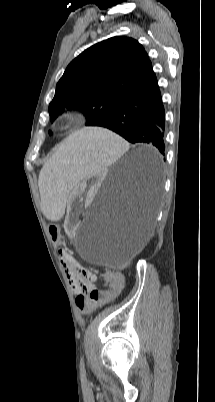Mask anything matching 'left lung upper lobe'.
Masks as SVG:
<instances>
[{"mask_svg":"<svg viewBox=\"0 0 215 402\" xmlns=\"http://www.w3.org/2000/svg\"><path fill=\"white\" fill-rule=\"evenodd\" d=\"M152 71L138 41L112 37L82 52L66 68L49 105L51 122L65 108L79 109L96 126L127 99ZM51 134V132H49Z\"/></svg>","mask_w":215,"mask_h":402,"instance_id":"obj_1","label":"left lung upper lobe"}]
</instances>
